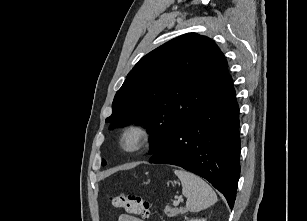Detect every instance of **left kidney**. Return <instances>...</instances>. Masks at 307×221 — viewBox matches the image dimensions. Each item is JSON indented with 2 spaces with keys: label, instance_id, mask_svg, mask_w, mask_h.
<instances>
[{
  "label": "left kidney",
  "instance_id": "5707ae66",
  "mask_svg": "<svg viewBox=\"0 0 307 221\" xmlns=\"http://www.w3.org/2000/svg\"><path fill=\"white\" fill-rule=\"evenodd\" d=\"M188 221H206V219H191V220H188Z\"/></svg>",
  "mask_w": 307,
  "mask_h": 221
}]
</instances>
